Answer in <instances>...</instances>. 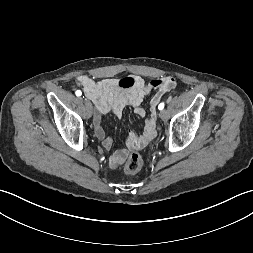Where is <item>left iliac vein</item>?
I'll use <instances>...</instances> for the list:
<instances>
[{
  "label": "left iliac vein",
  "mask_w": 253,
  "mask_h": 253,
  "mask_svg": "<svg viewBox=\"0 0 253 253\" xmlns=\"http://www.w3.org/2000/svg\"><path fill=\"white\" fill-rule=\"evenodd\" d=\"M159 116L163 120L166 119L167 118V111L166 110L160 111Z\"/></svg>",
  "instance_id": "left-iliac-vein-1"
}]
</instances>
